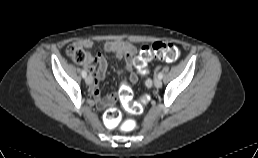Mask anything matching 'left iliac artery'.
Instances as JSON below:
<instances>
[{
  "instance_id": "obj_1",
  "label": "left iliac artery",
  "mask_w": 258,
  "mask_h": 158,
  "mask_svg": "<svg viewBox=\"0 0 258 158\" xmlns=\"http://www.w3.org/2000/svg\"><path fill=\"white\" fill-rule=\"evenodd\" d=\"M158 78H159V79H162V78H163V73H162V72H159Z\"/></svg>"
}]
</instances>
